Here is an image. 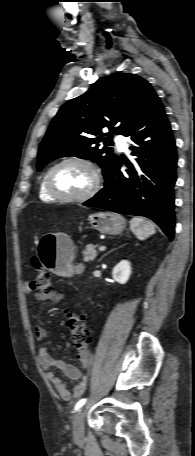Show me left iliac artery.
Segmentation results:
<instances>
[{"label":"left iliac artery","mask_w":195,"mask_h":456,"mask_svg":"<svg viewBox=\"0 0 195 456\" xmlns=\"http://www.w3.org/2000/svg\"><path fill=\"white\" fill-rule=\"evenodd\" d=\"M86 401H87L86 398L79 400L75 405V411H79L83 407V405L86 403Z\"/></svg>","instance_id":"obj_1"}]
</instances>
